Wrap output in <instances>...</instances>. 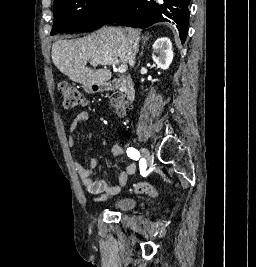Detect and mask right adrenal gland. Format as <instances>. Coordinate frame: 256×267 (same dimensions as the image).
Masks as SVG:
<instances>
[{
    "label": "right adrenal gland",
    "mask_w": 256,
    "mask_h": 267,
    "mask_svg": "<svg viewBox=\"0 0 256 267\" xmlns=\"http://www.w3.org/2000/svg\"><path fill=\"white\" fill-rule=\"evenodd\" d=\"M145 42H147V40H146L145 36H142V46H141V48H142V52H141V54H143L144 44H145Z\"/></svg>",
    "instance_id": "2a0ac1e0"
}]
</instances>
